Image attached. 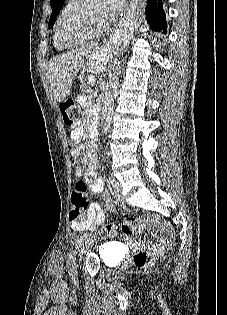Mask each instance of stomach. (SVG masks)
I'll use <instances>...</instances> for the list:
<instances>
[{"label":"stomach","instance_id":"0dacf381","mask_svg":"<svg viewBox=\"0 0 227 315\" xmlns=\"http://www.w3.org/2000/svg\"><path fill=\"white\" fill-rule=\"evenodd\" d=\"M94 54H90L88 55L87 59H86V67L87 69L85 70L86 73V77L85 80L87 82H90L92 80V77L90 76V74L92 73V70H96L98 69V65L95 63V59H94Z\"/></svg>","mask_w":227,"mask_h":315}]
</instances>
